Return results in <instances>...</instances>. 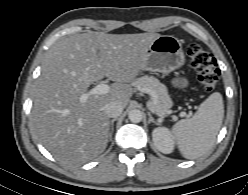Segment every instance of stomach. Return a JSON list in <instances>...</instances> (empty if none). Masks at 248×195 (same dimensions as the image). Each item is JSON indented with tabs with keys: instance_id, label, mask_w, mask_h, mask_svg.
I'll return each instance as SVG.
<instances>
[{
	"instance_id": "obj_1",
	"label": "stomach",
	"mask_w": 248,
	"mask_h": 195,
	"mask_svg": "<svg viewBox=\"0 0 248 195\" xmlns=\"http://www.w3.org/2000/svg\"><path fill=\"white\" fill-rule=\"evenodd\" d=\"M184 63L185 55L180 41L172 35H163L149 46L144 69L167 75Z\"/></svg>"
}]
</instances>
